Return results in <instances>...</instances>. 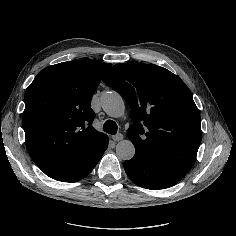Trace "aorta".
<instances>
[{
	"label": "aorta",
	"instance_id": "obj_1",
	"mask_svg": "<svg viewBox=\"0 0 236 236\" xmlns=\"http://www.w3.org/2000/svg\"><path fill=\"white\" fill-rule=\"evenodd\" d=\"M103 110L111 117H121L125 111L123 98L115 91L106 92L101 96ZM135 154V147L129 140H122L116 146V155L120 160H130Z\"/></svg>",
	"mask_w": 236,
	"mask_h": 236
}]
</instances>
